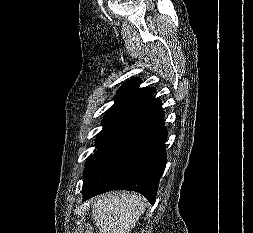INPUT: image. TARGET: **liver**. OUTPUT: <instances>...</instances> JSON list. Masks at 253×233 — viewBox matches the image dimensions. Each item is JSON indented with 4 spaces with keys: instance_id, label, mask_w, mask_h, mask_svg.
Listing matches in <instances>:
<instances>
[{
    "instance_id": "obj_1",
    "label": "liver",
    "mask_w": 253,
    "mask_h": 233,
    "mask_svg": "<svg viewBox=\"0 0 253 233\" xmlns=\"http://www.w3.org/2000/svg\"><path fill=\"white\" fill-rule=\"evenodd\" d=\"M143 197L130 192L98 196L92 205V218L101 233H129L144 213Z\"/></svg>"
}]
</instances>
